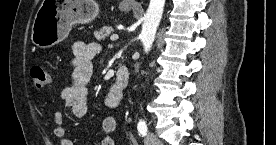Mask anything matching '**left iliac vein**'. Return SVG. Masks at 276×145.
<instances>
[{"instance_id": "obj_1", "label": "left iliac vein", "mask_w": 276, "mask_h": 145, "mask_svg": "<svg viewBox=\"0 0 276 145\" xmlns=\"http://www.w3.org/2000/svg\"><path fill=\"white\" fill-rule=\"evenodd\" d=\"M145 145H161L160 139L153 133L148 132L144 138Z\"/></svg>"}]
</instances>
